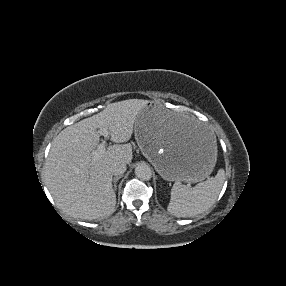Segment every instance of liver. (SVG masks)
I'll use <instances>...</instances> for the list:
<instances>
[{"instance_id": "obj_1", "label": "liver", "mask_w": 286, "mask_h": 286, "mask_svg": "<svg viewBox=\"0 0 286 286\" xmlns=\"http://www.w3.org/2000/svg\"><path fill=\"white\" fill-rule=\"evenodd\" d=\"M147 104L142 99L108 104L102 112L66 127L54 138L45 165L46 185L65 213L73 218L93 220L114 211L116 195L110 166L117 161L132 162V146L126 142L133 134L138 114ZM169 116L177 130L187 136L206 134L188 115ZM99 128H107L111 141L118 144L109 146L94 162L92 150L100 141Z\"/></svg>"}]
</instances>
